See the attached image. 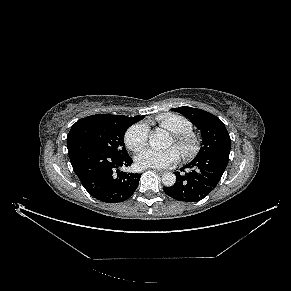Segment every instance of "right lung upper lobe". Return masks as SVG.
I'll return each mask as SVG.
<instances>
[{
    "mask_svg": "<svg viewBox=\"0 0 291 291\" xmlns=\"http://www.w3.org/2000/svg\"><path fill=\"white\" fill-rule=\"evenodd\" d=\"M95 117H106V118L125 117V118L130 119L131 121H133L135 123V122L141 120L144 116L127 117V116H123V115L99 114V115H92V116H88L86 118H82V119L78 120L76 123H79L80 121H83V120L88 119V118H95Z\"/></svg>",
    "mask_w": 291,
    "mask_h": 291,
    "instance_id": "1",
    "label": "right lung upper lobe"
}]
</instances>
